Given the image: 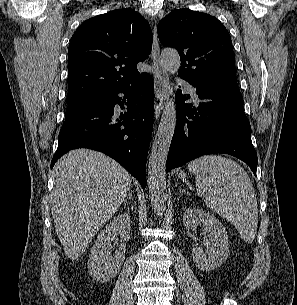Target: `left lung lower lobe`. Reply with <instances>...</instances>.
Segmentation results:
<instances>
[{"label":"left lung lower lobe","instance_id":"1","mask_svg":"<svg viewBox=\"0 0 297 305\" xmlns=\"http://www.w3.org/2000/svg\"><path fill=\"white\" fill-rule=\"evenodd\" d=\"M188 82L202 101L197 107L185 104L190 95L176 92L177 123L166 172L202 155L225 153L244 161L256 176L257 153L237 80L198 86Z\"/></svg>","mask_w":297,"mask_h":305}]
</instances>
